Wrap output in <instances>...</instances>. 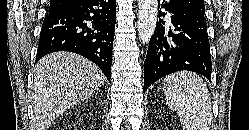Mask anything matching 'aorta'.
Segmentation results:
<instances>
[{
  "instance_id": "1",
  "label": "aorta",
  "mask_w": 249,
  "mask_h": 130,
  "mask_svg": "<svg viewBox=\"0 0 249 130\" xmlns=\"http://www.w3.org/2000/svg\"><path fill=\"white\" fill-rule=\"evenodd\" d=\"M138 37L142 44L150 42L157 23V0H138Z\"/></svg>"
}]
</instances>
